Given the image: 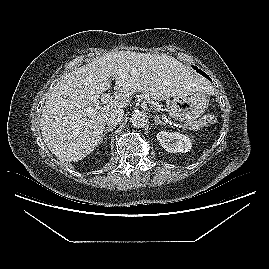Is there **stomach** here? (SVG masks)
I'll return each mask as SVG.
<instances>
[{
  "mask_svg": "<svg viewBox=\"0 0 269 269\" xmlns=\"http://www.w3.org/2000/svg\"><path fill=\"white\" fill-rule=\"evenodd\" d=\"M208 106L205 92L193 90L175 96L170 103V116L174 120L192 124L200 118Z\"/></svg>",
  "mask_w": 269,
  "mask_h": 269,
  "instance_id": "1",
  "label": "stomach"
}]
</instances>
